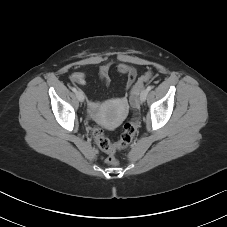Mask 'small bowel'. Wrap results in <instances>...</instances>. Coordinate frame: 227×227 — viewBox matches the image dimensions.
<instances>
[{
	"label": "small bowel",
	"mask_w": 227,
	"mask_h": 227,
	"mask_svg": "<svg viewBox=\"0 0 227 227\" xmlns=\"http://www.w3.org/2000/svg\"><path fill=\"white\" fill-rule=\"evenodd\" d=\"M110 69L111 65L110 64H104L101 65L98 71L99 78L101 81H103L106 85L110 83ZM116 70L118 73L121 75H124L126 77V84L125 87L126 89H130L137 77V71L134 67L126 64V63H120L117 65ZM71 80L79 85H84L86 83V76L82 72H74L71 75ZM89 106L91 109H95L97 107V104L93 101L89 103Z\"/></svg>",
	"instance_id": "1"
}]
</instances>
